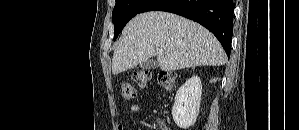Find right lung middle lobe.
<instances>
[{
  "label": "right lung middle lobe",
  "mask_w": 299,
  "mask_h": 130,
  "mask_svg": "<svg viewBox=\"0 0 299 130\" xmlns=\"http://www.w3.org/2000/svg\"><path fill=\"white\" fill-rule=\"evenodd\" d=\"M116 5L112 13L114 23V40L118 37L124 26L139 13L148 0H115Z\"/></svg>",
  "instance_id": "1"
}]
</instances>
